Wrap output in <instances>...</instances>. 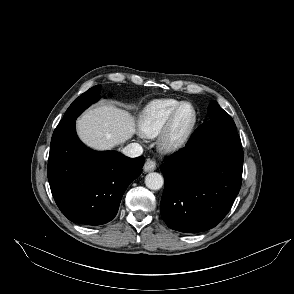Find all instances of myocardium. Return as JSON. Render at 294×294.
I'll return each instance as SVG.
<instances>
[{
    "label": "myocardium",
    "instance_id": "obj_1",
    "mask_svg": "<svg viewBox=\"0 0 294 294\" xmlns=\"http://www.w3.org/2000/svg\"><path fill=\"white\" fill-rule=\"evenodd\" d=\"M185 107H190L192 116L190 120L183 126L180 125V116ZM198 112L191 102H182L174 110L169 120L160 131L159 147L166 152H172L183 147L189 140L194 128L197 124Z\"/></svg>",
    "mask_w": 294,
    "mask_h": 294
}]
</instances>
